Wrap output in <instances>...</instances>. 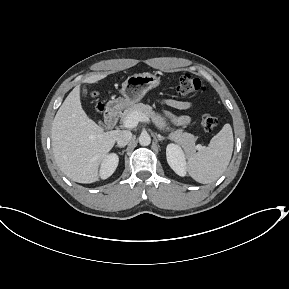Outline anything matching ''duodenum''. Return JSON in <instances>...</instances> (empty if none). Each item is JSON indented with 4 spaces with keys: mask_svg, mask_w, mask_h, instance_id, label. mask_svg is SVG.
<instances>
[{
    "mask_svg": "<svg viewBox=\"0 0 289 289\" xmlns=\"http://www.w3.org/2000/svg\"><path fill=\"white\" fill-rule=\"evenodd\" d=\"M120 116V110L115 105H109L105 111V123L108 127H113Z\"/></svg>",
    "mask_w": 289,
    "mask_h": 289,
    "instance_id": "obj_1",
    "label": "duodenum"
}]
</instances>
